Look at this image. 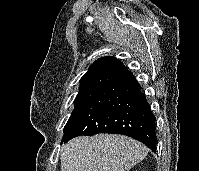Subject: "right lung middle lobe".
I'll return each mask as SVG.
<instances>
[{
  "label": "right lung middle lobe",
  "instance_id": "1",
  "mask_svg": "<svg viewBox=\"0 0 199 171\" xmlns=\"http://www.w3.org/2000/svg\"><path fill=\"white\" fill-rule=\"evenodd\" d=\"M113 78V76L107 75L96 76L80 83L79 93L74 100V110L64 127V135L75 120L78 113L87 105L91 98L104 86H106Z\"/></svg>",
  "mask_w": 199,
  "mask_h": 171
}]
</instances>
